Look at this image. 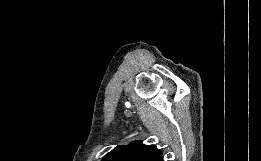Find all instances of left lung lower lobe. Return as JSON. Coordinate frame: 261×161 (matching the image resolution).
Listing matches in <instances>:
<instances>
[{
	"mask_svg": "<svg viewBox=\"0 0 261 161\" xmlns=\"http://www.w3.org/2000/svg\"><path fill=\"white\" fill-rule=\"evenodd\" d=\"M157 161H163L162 156H160Z\"/></svg>",
	"mask_w": 261,
	"mask_h": 161,
	"instance_id": "obj_1",
	"label": "left lung lower lobe"
}]
</instances>
